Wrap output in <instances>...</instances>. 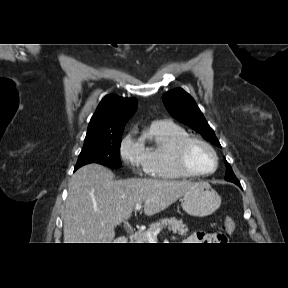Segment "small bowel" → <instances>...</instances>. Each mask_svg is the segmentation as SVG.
Listing matches in <instances>:
<instances>
[{
  "label": "small bowel",
  "mask_w": 288,
  "mask_h": 288,
  "mask_svg": "<svg viewBox=\"0 0 288 288\" xmlns=\"http://www.w3.org/2000/svg\"><path fill=\"white\" fill-rule=\"evenodd\" d=\"M189 242L198 244V243H211V242H224L225 237L221 233H214L208 236L204 232H196L189 237Z\"/></svg>",
  "instance_id": "small-bowel-1"
}]
</instances>
